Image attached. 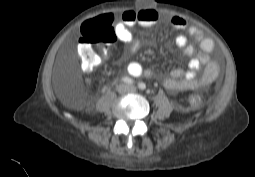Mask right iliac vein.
<instances>
[{
  "label": "right iliac vein",
  "mask_w": 255,
  "mask_h": 177,
  "mask_svg": "<svg viewBox=\"0 0 255 177\" xmlns=\"http://www.w3.org/2000/svg\"><path fill=\"white\" fill-rule=\"evenodd\" d=\"M126 90H127V87L125 86V85H120V86H118V88H117V91L119 92V93H125L126 92Z\"/></svg>",
  "instance_id": "63e3f726"
}]
</instances>
